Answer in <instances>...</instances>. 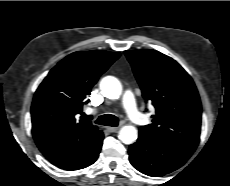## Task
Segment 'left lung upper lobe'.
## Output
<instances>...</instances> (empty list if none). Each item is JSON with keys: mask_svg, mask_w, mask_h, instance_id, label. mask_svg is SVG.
I'll list each match as a JSON object with an SVG mask.
<instances>
[{"mask_svg": "<svg viewBox=\"0 0 230 186\" xmlns=\"http://www.w3.org/2000/svg\"><path fill=\"white\" fill-rule=\"evenodd\" d=\"M143 97L156 114L139 132L159 140L196 147L201 129V102L189 74L172 58L151 49L126 50Z\"/></svg>", "mask_w": 230, "mask_h": 186, "instance_id": "left-lung-upper-lobe-1", "label": "left lung upper lobe"}]
</instances>
